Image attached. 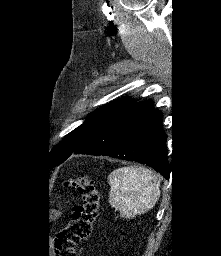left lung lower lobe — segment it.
Instances as JSON below:
<instances>
[{"label":"left lung lower lobe","instance_id":"1","mask_svg":"<svg viewBox=\"0 0 221 256\" xmlns=\"http://www.w3.org/2000/svg\"><path fill=\"white\" fill-rule=\"evenodd\" d=\"M162 113L153 108L152 101L138 107L96 131L73 154L109 156L136 161L154 168L169 179L167 136L161 128Z\"/></svg>","mask_w":221,"mask_h":256}]
</instances>
